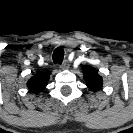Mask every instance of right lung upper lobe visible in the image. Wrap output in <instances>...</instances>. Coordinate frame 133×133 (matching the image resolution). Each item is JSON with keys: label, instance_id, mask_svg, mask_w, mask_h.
Wrapping results in <instances>:
<instances>
[{"label": "right lung upper lobe", "instance_id": "1", "mask_svg": "<svg viewBox=\"0 0 133 133\" xmlns=\"http://www.w3.org/2000/svg\"><path fill=\"white\" fill-rule=\"evenodd\" d=\"M50 74V72L46 71L37 73L32 76L31 79L27 82V86L30 92L35 94L42 92L47 86Z\"/></svg>", "mask_w": 133, "mask_h": 133}]
</instances>
